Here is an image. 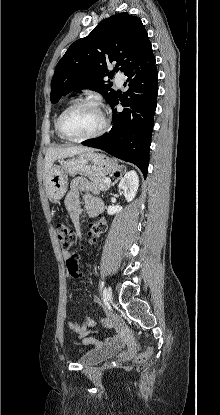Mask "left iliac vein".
<instances>
[{"label": "left iliac vein", "instance_id": "4c4485c4", "mask_svg": "<svg viewBox=\"0 0 220 415\" xmlns=\"http://www.w3.org/2000/svg\"><path fill=\"white\" fill-rule=\"evenodd\" d=\"M112 288L108 286L105 290V300L106 302H109L112 299Z\"/></svg>", "mask_w": 220, "mask_h": 415}]
</instances>
